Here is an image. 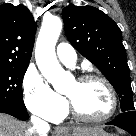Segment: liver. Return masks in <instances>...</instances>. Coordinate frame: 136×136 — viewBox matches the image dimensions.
<instances>
[{"mask_svg":"<svg viewBox=\"0 0 136 136\" xmlns=\"http://www.w3.org/2000/svg\"><path fill=\"white\" fill-rule=\"evenodd\" d=\"M96 128L76 127L73 133H88ZM0 136H39L31 125L9 115L0 113Z\"/></svg>","mask_w":136,"mask_h":136,"instance_id":"obj_1","label":"liver"}]
</instances>
